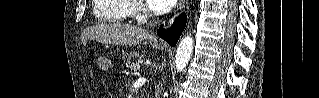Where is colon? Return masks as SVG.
Wrapping results in <instances>:
<instances>
[{
    "label": "colon",
    "mask_w": 319,
    "mask_h": 98,
    "mask_svg": "<svg viewBox=\"0 0 319 98\" xmlns=\"http://www.w3.org/2000/svg\"><path fill=\"white\" fill-rule=\"evenodd\" d=\"M93 57L95 59V62L97 64V66L100 68V69H106L107 66H108V61L105 57L99 55L98 53L94 52L93 53Z\"/></svg>",
    "instance_id": "5ec220e1"
}]
</instances>
